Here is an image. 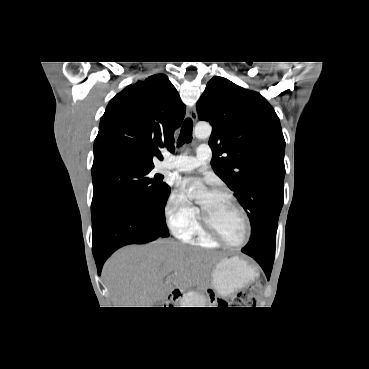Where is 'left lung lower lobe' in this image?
I'll use <instances>...</instances> for the list:
<instances>
[{
	"label": "left lung lower lobe",
	"instance_id": "obj_1",
	"mask_svg": "<svg viewBox=\"0 0 369 369\" xmlns=\"http://www.w3.org/2000/svg\"><path fill=\"white\" fill-rule=\"evenodd\" d=\"M245 254H247V253H245ZM247 255L251 256L253 259H255L259 263V265L264 270L267 279L269 280L270 274H271V270H272V266H273V262H274V258L257 256V255H254V254H247Z\"/></svg>",
	"mask_w": 369,
	"mask_h": 369
}]
</instances>
